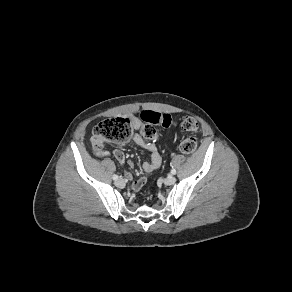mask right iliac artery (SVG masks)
<instances>
[{
	"instance_id": "right-iliac-artery-1",
	"label": "right iliac artery",
	"mask_w": 292,
	"mask_h": 292,
	"mask_svg": "<svg viewBox=\"0 0 292 292\" xmlns=\"http://www.w3.org/2000/svg\"><path fill=\"white\" fill-rule=\"evenodd\" d=\"M113 180H117L118 179V175H113Z\"/></svg>"
}]
</instances>
